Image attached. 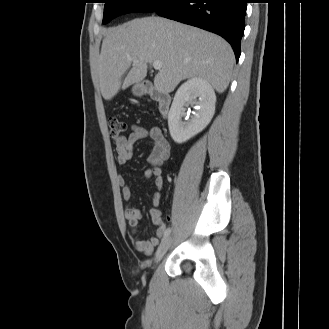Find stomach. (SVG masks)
<instances>
[{"mask_svg":"<svg viewBox=\"0 0 329 329\" xmlns=\"http://www.w3.org/2000/svg\"><path fill=\"white\" fill-rule=\"evenodd\" d=\"M132 92H133L135 95L139 96V95H142V94H144V93L146 92V88H145V86H144L143 84H141V83H137V84H135V85L133 86V88H132Z\"/></svg>","mask_w":329,"mask_h":329,"instance_id":"1","label":"stomach"}]
</instances>
